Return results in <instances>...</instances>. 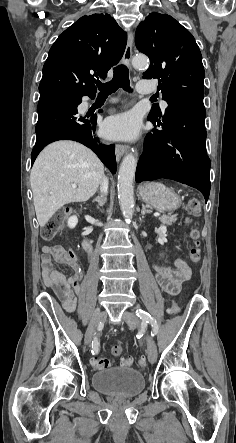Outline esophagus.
Listing matches in <instances>:
<instances>
[{
  "instance_id": "obj_1",
  "label": "esophagus",
  "mask_w": 236,
  "mask_h": 443,
  "mask_svg": "<svg viewBox=\"0 0 236 443\" xmlns=\"http://www.w3.org/2000/svg\"><path fill=\"white\" fill-rule=\"evenodd\" d=\"M134 36L130 32L128 34L127 45L123 55V63L131 69V58H132V46H133ZM128 147L125 145L117 144L115 148V154L117 161H120L122 156L127 152Z\"/></svg>"
}]
</instances>
